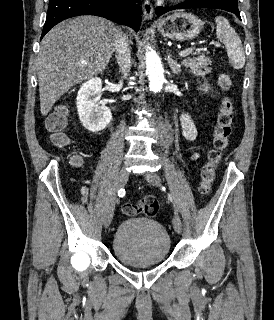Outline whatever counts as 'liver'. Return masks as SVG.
Instances as JSON below:
<instances>
[{
  "label": "liver",
  "mask_w": 274,
  "mask_h": 320,
  "mask_svg": "<svg viewBox=\"0 0 274 320\" xmlns=\"http://www.w3.org/2000/svg\"><path fill=\"white\" fill-rule=\"evenodd\" d=\"M115 30L105 18L77 16L44 36L36 60L42 116L72 86L104 72L115 50Z\"/></svg>",
  "instance_id": "obj_1"
}]
</instances>
